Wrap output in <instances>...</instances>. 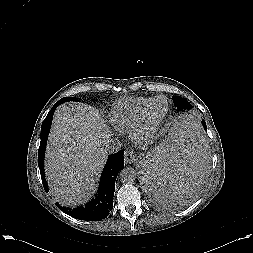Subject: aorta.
I'll list each match as a JSON object with an SVG mask.
<instances>
[{
	"mask_svg": "<svg viewBox=\"0 0 253 253\" xmlns=\"http://www.w3.org/2000/svg\"><path fill=\"white\" fill-rule=\"evenodd\" d=\"M137 173L132 167L123 168L120 172V178L123 182L131 183L135 181Z\"/></svg>",
	"mask_w": 253,
	"mask_h": 253,
	"instance_id": "obj_1",
	"label": "aorta"
}]
</instances>
